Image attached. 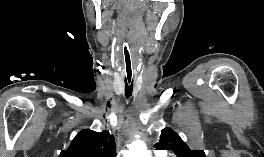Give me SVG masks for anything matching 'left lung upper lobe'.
I'll return each instance as SVG.
<instances>
[{"instance_id":"1","label":"left lung upper lobe","mask_w":264,"mask_h":157,"mask_svg":"<svg viewBox=\"0 0 264 157\" xmlns=\"http://www.w3.org/2000/svg\"><path fill=\"white\" fill-rule=\"evenodd\" d=\"M154 147L158 150H172L177 157H206L203 150H191L179 135L169 128L161 131L160 140Z\"/></svg>"}]
</instances>
